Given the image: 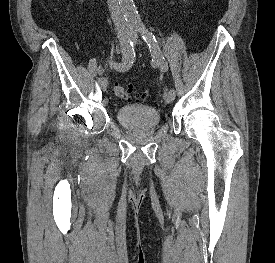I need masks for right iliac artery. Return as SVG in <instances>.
<instances>
[{"label": "right iliac artery", "mask_w": 275, "mask_h": 263, "mask_svg": "<svg viewBox=\"0 0 275 263\" xmlns=\"http://www.w3.org/2000/svg\"><path fill=\"white\" fill-rule=\"evenodd\" d=\"M135 60V50L133 41H129L127 45L122 49V61L121 63L110 62L111 66L117 69L118 71H126L128 70L134 63ZM89 71L96 76L97 69V61L95 58L91 59L88 64Z\"/></svg>", "instance_id": "82829eb1"}]
</instances>
